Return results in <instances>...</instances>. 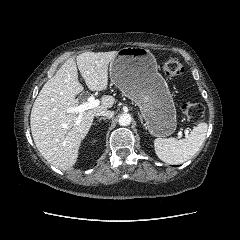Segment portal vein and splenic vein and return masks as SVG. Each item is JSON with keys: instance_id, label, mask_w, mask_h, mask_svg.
Here are the masks:
<instances>
[{"instance_id": "1", "label": "portal vein and splenic vein", "mask_w": 240, "mask_h": 240, "mask_svg": "<svg viewBox=\"0 0 240 240\" xmlns=\"http://www.w3.org/2000/svg\"><path fill=\"white\" fill-rule=\"evenodd\" d=\"M99 104H100L99 100L95 99L94 96H90L88 98L87 102H84L83 104H80V105H76V106L70 108L69 111L78 113L77 122H80V120L83 117V113L86 110L95 108V107L99 106ZM184 133H185V137H188V133H189L188 130H185ZM181 136H182V132H179L177 138H180Z\"/></svg>"}]
</instances>
